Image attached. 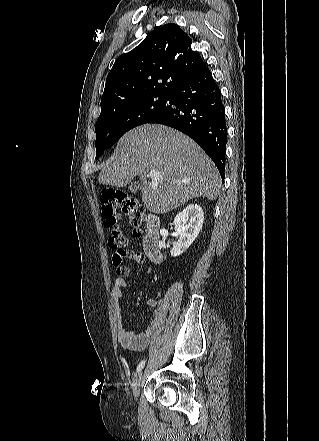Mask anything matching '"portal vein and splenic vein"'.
<instances>
[{
	"label": "portal vein and splenic vein",
	"mask_w": 319,
	"mask_h": 441,
	"mask_svg": "<svg viewBox=\"0 0 319 441\" xmlns=\"http://www.w3.org/2000/svg\"><path fill=\"white\" fill-rule=\"evenodd\" d=\"M149 177H151V179H161L163 180V178L161 177L160 173L156 170H151L149 173Z\"/></svg>",
	"instance_id": "obj_1"
}]
</instances>
